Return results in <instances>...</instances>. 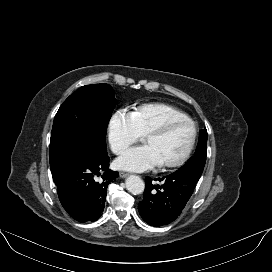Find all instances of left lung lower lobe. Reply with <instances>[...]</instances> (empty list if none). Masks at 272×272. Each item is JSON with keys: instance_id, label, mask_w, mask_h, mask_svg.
Listing matches in <instances>:
<instances>
[{"instance_id": "obj_1", "label": "left lung lower lobe", "mask_w": 272, "mask_h": 272, "mask_svg": "<svg viewBox=\"0 0 272 272\" xmlns=\"http://www.w3.org/2000/svg\"><path fill=\"white\" fill-rule=\"evenodd\" d=\"M199 178L192 173L174 172L154 179L163 181L162 185H154L152 178L147 177L144 198L138 205L143 220L156 227L174 221L191 197Z\"/></svg>"}]
</instances>
